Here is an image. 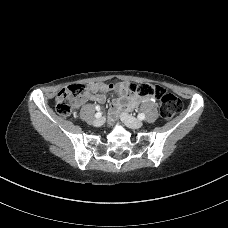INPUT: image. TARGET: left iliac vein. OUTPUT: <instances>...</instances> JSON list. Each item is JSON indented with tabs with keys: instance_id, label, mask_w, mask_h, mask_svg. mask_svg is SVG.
Masks as SVG:
<instances>
[{
	"instance_id": "obj_1",
	"label": "left iliac vein",
	"mask_w": 228,
	"mask_h": 228,
	"mask_svg": "<svg viewBox=\"0 0 228 228\" xmlns=\"http://www.w3.org/2000/svg\"><path fill=\"white\" fill-rule=\"evenodd\" d=\"M121 119L130 127L133 129H139L143 126V122L139 119L134 118L133 116L127 114V113H122L121 114Z\"/></svg>"
}]
</instances>
